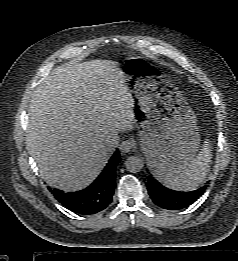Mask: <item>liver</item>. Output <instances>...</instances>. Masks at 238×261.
I'll list each match as a JSON object with an SVG mask.
<instances>
[{"mask_svg":"<svg viewBox=\"0 0 238 261\" xmlns=\"http://www.w3.org/2000/svg\"><path fill=\"white\" fill-rule=\"evenodd\" d=\"M136 122L118 62L92 60L55 68L28 108L26 147L48 185L87 187L111 153L106 140Z\"/></svg>","mask_w":238,"mask_h":261,"instance_id":"liver-1","label":"liver"}]
</instances>
